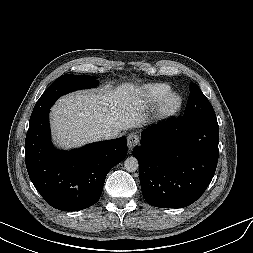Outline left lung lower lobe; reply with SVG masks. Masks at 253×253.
<instances>
[{
    "mask_svg": "<svg viewBox=\"0 0 253 253\" xmlns=\"http://www.w3.org/2000/svg\"><path fill=\"white\" fill-rule=\"evenodd\" d=\"M216 117L172 120L151 125L133 149L139 162L142 194L152 206L182 208L210 184L219 150Z\"/></svg>",
    "mask_w": 253,
    "mask_h": 253,
    "instance_id": "1",
    "label": "left lung lower lobe"
}]
</instances>
